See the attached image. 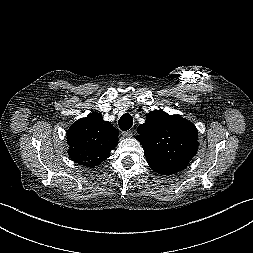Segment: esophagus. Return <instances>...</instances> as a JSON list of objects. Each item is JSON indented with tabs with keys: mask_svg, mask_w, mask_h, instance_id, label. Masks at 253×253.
Listing matches in <instances>:
<instances>
[{
	"mask_svg": "<svg viewBox=\"0 0 253 253\" xmlns=\"http://www.w3.org/2000/svg\"><path fill=\"white\" fill-rule=\"evenodd\" d=\"M122 135H123L124 137L129 138V137H131V136L133 135V132H132L131 130L124 131V132H122Z\"/></svg>",
	"mask_w": 253,
	"mask_h": 253,
	"instance_id": "esophagus-1",
	"label": "esophagus"
}]
</instances>
